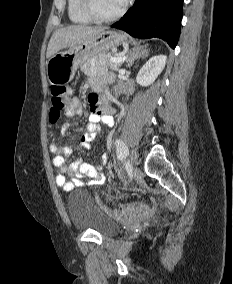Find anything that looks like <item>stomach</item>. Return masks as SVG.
I'll list each match as a JSON object with an SVG mask.
<instances>
[{
    "label": "stomach",
    "instance_id": "obj_1",
    "mask_svg": "<svg viewBox=\"0 0 233 284\" xmlns=\"http://www.w3.org/2000/svg\"><path fill=\"white\" fill-rule=\"evenodd\" d=\"M126 40L127 37L122 32L104 30L88 42H83L67 51L56 53L47 62V77L50 84H68L81 65Z\"/></svg>",
    "mask_w": 233,
    "mask_h": 284
}]
</instances>
